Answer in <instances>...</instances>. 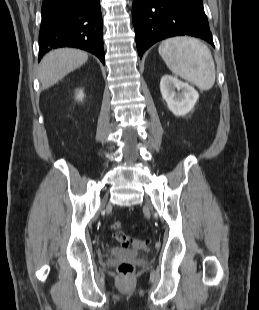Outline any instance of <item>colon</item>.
<instances>
[{
    "label": "colon",
    "mask_w": 259,
    "mask_h": 310,
    "mask_svg": "<svg viewBox=\"0 0 259 310\" xmlns=\"http://www.w3.org/2000/svg\"><path fill=\"white\" fill-rule=\"evenodd\" d=\"M111 229L114 231L113 238L121 243L123 246L132 247L136 250H145L149 247V241L142 239H133L129 237L126 233L121 231V223L116 221L110 225ZM134 266L129 262H122L118 266V272L122 276H129L133 273Z\"/></svg>",
    "instance_id": "colon-1"
}]
</instances>
